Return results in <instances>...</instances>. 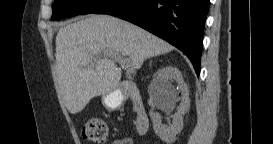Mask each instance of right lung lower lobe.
Segmentation results:
<instances>
[{
    "mask_svg": "<svg viewBox=\"0 0 273 144\" xmlns=\"http://www.w3.org/2000/svg\"><path fill=\"white\" fill-rule=\"evenodd\" d=\"M210 0H109L94 11L157 35L181 50L200 74L203 31Z\"/></svg>",
    "mask_w": 273,
    "mask_h": 144,
    "instance_id": "obj_1",
    "label": "right lung lower lobe"
}]
</instances>
